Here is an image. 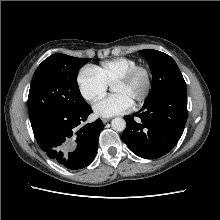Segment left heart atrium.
<instances>
[{"label":"left heart atrium","instance_id":"left-heart-atrium-1","mask_svg":"<svg viewBox=\"0 0 220 220\" xmlns=\"http://www.w3.org/2000/svg\"><path fill=\"white\" fill-rule=\"evenodd\" d=\"M132 107V102L124 95H111L98 100L93 105L96 116L112 117L123 114Z\"/></svg>","mask_w":220,"mask_h":220}]
</instances>
